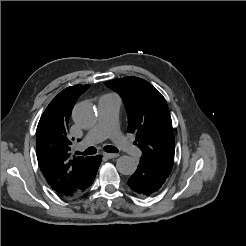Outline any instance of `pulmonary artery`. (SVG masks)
Wrapping results in <instances>:
<instances>
[{"instance_id": "e3ab8cb5", "label": "pulmonary artery", "mask_w": 246, "mask_h": 246, "mask_svg": "<svg viewBox=\"0 0 246 246\" xmlns=\"http://www.w3.org/2000/svg\"><path fill=\"white\" fill-rule=\"evenodd\" d=\"M121 99L115 94H105L98 101V120L86 134L83 145H92L111 138L113 142L132 158L139 159L141 150L129 142L118 130L117 120Z\"/></svg>"}]
</instances>
